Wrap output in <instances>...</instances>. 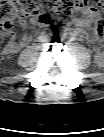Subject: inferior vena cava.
<instances>
[{"mask_svg": "<svg viewBox=\"0 0 104 137\" xmlns=\"http://www.w3.org/2000/svg\"><path fill=\"white\" fill-rule=\"evenodd\" d=\"M38 43L41 47H47L49 45V40L45 36H40L38 38Z\"/></svg>", "mask_w": 104, "mask_h": 137, "instance_id": "obj_1", "label": "inferior vena cava"}]
</instances>
